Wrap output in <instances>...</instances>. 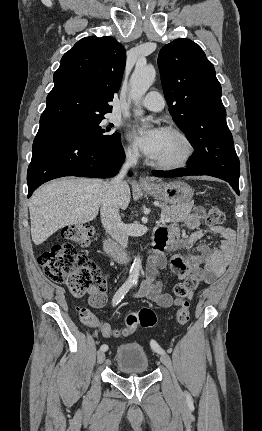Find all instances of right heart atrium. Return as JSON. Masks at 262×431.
<instances>
[{"mask_svg": "<svg viewBox=\"0 0 262 431\" xmlns=\"http://www.w3.org/2000/svg\"><path fill=\"white\" fill-rule=\"evenodd\" d=\"M126 155L130 158L136 157L137 156V150L134 148V146H127L126 150Z\"/></svg>", "mask_w": 262, "mask_h": 431, "instance_id": "1", "label": "right heart atrium"}]
</instances>
